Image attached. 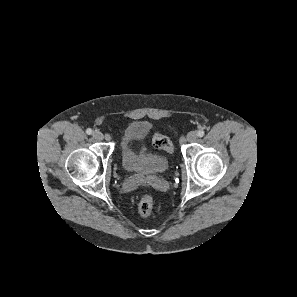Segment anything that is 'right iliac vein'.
I'll use <instances>...</instances> for the list:
<instances>
[{
    "label": "right iliac vein",
    "mask_w": 297,
    "mask_h": 297,
    "mask_svg": "<svg viewBox=\"0 0 297 297\" xmlns=\"http://www.w3.org/2000/svg\"><path fill=\"white\" fill-rule=\"evenodd\" d=\"M93 138L96 139L97 141L103 140L104 136L103 133L100 131H94L93 132Z\"/></svg>",
    "instance_id": "63e3f726"
}]
</instances>
